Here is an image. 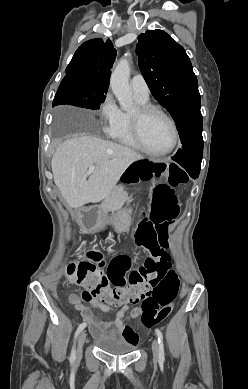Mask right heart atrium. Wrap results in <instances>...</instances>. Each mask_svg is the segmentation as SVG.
Returning a JSON list of instances; mask_svg holds the SVG:
<instances>
[{
	"label": "right heart atrium",
	"mask_w": 248,
	"mask_h": 389,
	"mask_svg": "<svg viewBox=\"0 0 248 389\" xmlns=\"http://www.w3.org/2000/svg\"><path fill=\"white\" fill-rule=\"evenodd\" d=\"M122 111L118 107L113 95L107 93L99 108V117L102 123L103 131L112 136L121 119Z\"/></svg>",
	"instance_id": "1"
}]
</instances>
